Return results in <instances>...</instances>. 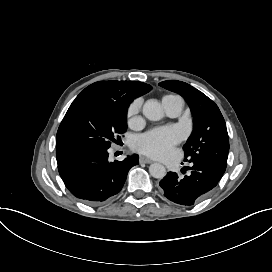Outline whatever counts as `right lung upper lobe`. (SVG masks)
Masks as SVG:
<instances>
[{"label": "right lung upper lobe", "mask_w": 272, "mask_h": 272, "mask_svg": "<svg viewBox=\"0 0 272 272\" xmlns=\"http://www.w3.org/2000/svg\"><path fill=\"white\" fill-rule=\"evenodd\" d=\"M152 87L138 81H99L86 87L73 101L100 100L129 106L134 98L148 93Z\"/></svg>", "instance_id": "obj_1"}]
</instances>
